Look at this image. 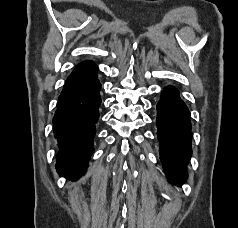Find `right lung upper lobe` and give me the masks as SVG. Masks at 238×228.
<instances>
[{"instance_id": "right-lung-upper-lobe-1", "label": "right lung upper lobe", "mask_w": 238, "mask_h": 228, "mask_svg": "<svg viewBox=\"0 0 238 228\" xmlns=\"http://www.w3.org/2000/svg\"><path fill=\"white\" fill-rule=\"evenodd\" d=\"M97 66L91 61L81 62L67 78L66 83L77 82L96 75Z\"/></svg>"}]
</instances>
